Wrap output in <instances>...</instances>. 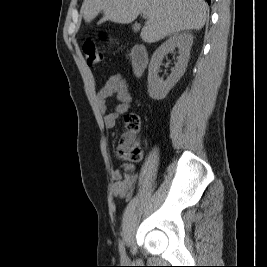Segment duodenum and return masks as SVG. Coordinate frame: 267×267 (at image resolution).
<instances>
[{
	"mask_svg": "<svg viewBox=\"0 0 267 267\" xmlns=\"http://www.w3.org/2000/svg\"><path fill=\"white\" fill-rule=\"evenodd\" d=\"M148 64V52L143 45L133 47L131 51V65L136 75L142 74Z\"/></svg>",
	"mask_w": 267,
	"mask_h": 267,
	"instance_id": "obj_1",
	"label": "duodenum"
}]
</instances>
